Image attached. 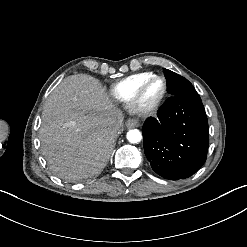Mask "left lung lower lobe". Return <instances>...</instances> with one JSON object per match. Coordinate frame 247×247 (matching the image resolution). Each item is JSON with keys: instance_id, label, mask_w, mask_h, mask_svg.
Instances as JSON below:
<instances>
[{"instance_id": "1", "label": "left lung lower lobe", "mask_w": 247, "mask_h": 247, "mask_svg": "<svg viewBox=\"0 0 247 247\" xmlns=\"http://www.w3.org/2000/svg\"><path fill=\"white\" fill-rule=\"evenodd\" d=\"M152 169L170 180L185 179L206 161L208 121L198 93L173 96L148 118L142 129Z\"/></svg>"}]
</instances>
